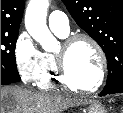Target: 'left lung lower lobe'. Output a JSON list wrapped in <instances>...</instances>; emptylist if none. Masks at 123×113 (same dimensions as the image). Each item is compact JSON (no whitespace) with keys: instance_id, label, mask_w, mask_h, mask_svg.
Instances as JSON below:
<instances>
[{"instance_id":"obj_1","label":"left lung lower lobe","mask_w":123,"mask_h":113,"mask_svg":"<svg viewBox=\"0 0 123 113\" xmlns=\"http://www.w3.org/2000/svg\"><path fill=\"white\" fill-rule=\"evenodd\" d=\"M107 94H114V93H109V92L102 91V92L99 94V96H105V95H107Z\"/></svg>"}]
</instances>
